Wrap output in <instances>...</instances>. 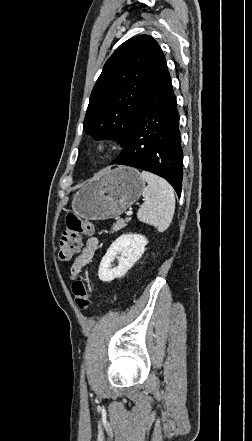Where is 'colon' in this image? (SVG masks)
<instances>
[{
  "label": "colon",
  "instance_id": "colon-1",
  "mask_svg": "<svg viewBox=\"0 0 252 441\" xmlns=\"http://www.w3.org/2000/svg\"><path fill=\"white\" fill-rule=\"evenodd\" d=\"M94 224L70 213L66 216V227L61 234L59 242V259L69 261L81 246L83 235L94 233ZM72 292L75 302L80 309L90 305V292L86 280L78 276L72 283Z\"/></svg>",
  "mask_w": 252,
  "mask_h": 441
}]
</instances>
